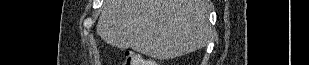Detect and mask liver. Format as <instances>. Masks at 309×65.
<instances>
[{"label":"liver","mask_w":309,"mask_h":65,"mask_svg":"<svg viewBox=\"0 0 309 65\" xmlns=\"http://www.w3.org/2000/svg\"><path fill=\"white\" fill-rule=\"evenodd\" d=\"M204 0H104L98 35L109 45L155 59H173L208 43Z\"/></svg>","instance_id":"liver-1"}]
</instances>
